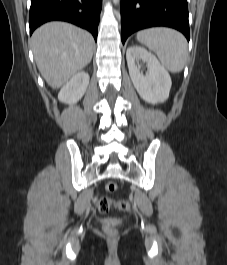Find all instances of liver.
<instances>
[{"label": "liver", "instance_id": "6515ba94", "mask_svg": "<svg viewBox=\"0 0 227 265\" xmlns=\"http://www.w3.org/2000/svg\"><path fill=\"white\" fill-rule=\"evenodd\" d=\"M31 45L42 77L51 88L58 89L90 63L94 39L75 25L55 21L36 29Z\"/></svg>", "mask_w": 227, "mask_h": 265}]
</instances>
